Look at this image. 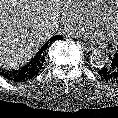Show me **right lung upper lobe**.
I'll return each instance as SVG.
<instances>
[{"label":"right lung upper lobe","instance_id":"obj_1","mask_svg":"<svg viewBox=\"0 0 118 118\" xmlns=\"http://www.w3.org/2000/svg\"><path fill=\"white\" fill-rule=\"evenodd\" d=\"M49 42H52V39H50L49 41H48V43ZM48 43H46L40 50H39V52L37 53V56L36 57H38V55H40V54H42L43 52H45V50L47 49V47H48Z\"/></svg>","mask_w":118,"mask_h":118}]
</instances>
